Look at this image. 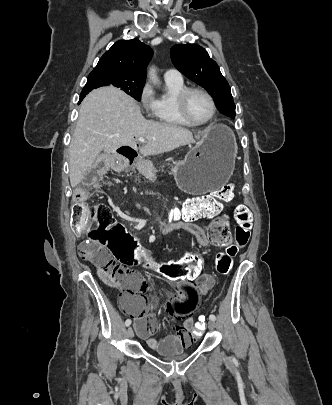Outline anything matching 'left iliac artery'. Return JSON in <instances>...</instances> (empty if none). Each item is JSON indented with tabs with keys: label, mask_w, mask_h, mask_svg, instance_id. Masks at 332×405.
<instances>
[{
	"label": "left iliac artery",
	"mask_w": 332,
	"mask_h": 405,
	"mask_svg": "<svg viewBox=\"0 0 332 405\" xmlns=\"http://www.w3.org/2000/svg\"><path fill=\"white\" fill-rule=\"evenodd\" d=\"M209 319L212 320V321H215V320H216V316L213 315V314H211V315L209 316Z\"/></svg>",
	"instance_id": "left-iliac-artery-1"
}]
</instances>
